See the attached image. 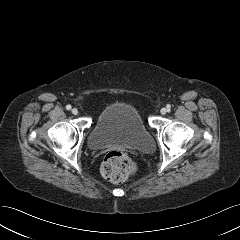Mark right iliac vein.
Returning <instances> with one entry per match:
<instances>
[{
    "label": "right iliac vein",
    "instance_id": "right-iliac-vein-1",
    "mask_svg": "<svg viewBox=\"0 0 240 240\" xmlns=\"http://www.w3.org/2000/svg\"><path fill=\"white\" fill-rule=\"evenodd\" d=\"M72 114L77 115L78 114V109L77 108H73L72 109Z\"/></svg>",
    "mask_w": 240,
    "mask_h": 240
}]
</instances>
